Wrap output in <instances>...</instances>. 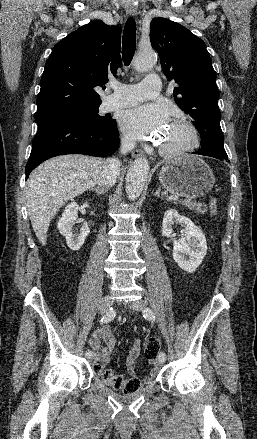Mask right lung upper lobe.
Masks as SVG:
<instances>
[{"mask_svg":"<svg viewBox=\"0 0 257 439\" xmlns=\"http://www.w3.org/2000/svg\"><path fill=\"white\" fill-rule=\"evenodd\" d=\"M121 29L92 21L58 42L49 56L40 81L36 121L76 110L97 107L94 90L116 76L121 65Z\"/></svg>","mask_w":257,"mask_h":439,"instance_id":"cb5924a9","label":"right lung upper lobe"}]
</instances>
